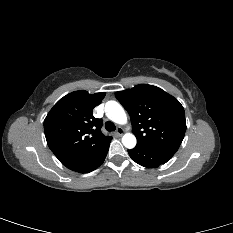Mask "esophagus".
<instances>
[{
  "label": "esophagus",
  "instance_id": "1",
  "mask_svg": "<svg viewBox=\"0 0 233 233\" xmlns=\"http://www.w3.org/2000/svg\"><path fill=\"white\" fill-rule=\"evenodd\" d=\"M115 133H116V135L121 136V135H123L124 130H123V128L118 127Z\"/></svg>",
  "mask_w": 233,
  "mask_h": 233
}]
</instances>
